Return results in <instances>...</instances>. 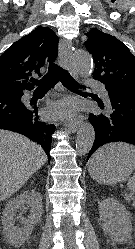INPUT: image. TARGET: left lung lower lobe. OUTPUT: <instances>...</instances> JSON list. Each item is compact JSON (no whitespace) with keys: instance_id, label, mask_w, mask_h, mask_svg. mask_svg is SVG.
<instances>
[{"instance_id":"1","label":"left lung lower lobe","mask_w":135,"mask_h":249,"mask_svg":"<svg viewBox=\"0 0 135 249\" xmlns=\"http://www.w3.org/2000/svg\"><path fill=\"white\" fill-rule=\"evenodd\" d=\"M93 99L98 101L102 111L89 116L95 128V140L87 160L99 147L110 142L135 145V97L108 92L106 106L98 98Z\"/></svg>"}]
</instances>
